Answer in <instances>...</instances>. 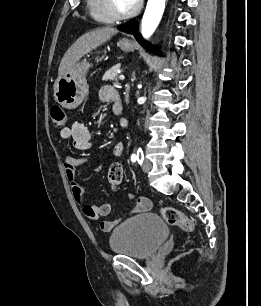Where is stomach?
Instances as JSON below:
<instances>
[{
    "instance_id": "stomach-1",
    "label": "stomach",
    "mask_w": 261,
    "mask_h": 306,
    "mask_svg": "<svg viewBox=\"0 0 261 306\" xmlns=\"http://www.w3.org/2000/svg\"><path fill=\"white\" fill-rule=\"evenodd\" d=\"M117 45L123 51H133L135 46L128 39H121ZM91 65L83 60L77 62L64 76L58 77L54 84L55 100L64 108L78 107L89 92L86 74Z\"/></svg>"
}]
</instances>
